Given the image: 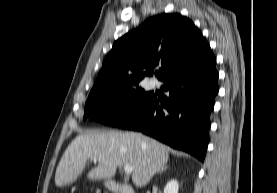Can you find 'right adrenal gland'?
I'll return each mask as SVG.
<instances>
[{
    "mask_svg": "<svg viewBox=\"0 0 277 193\" xmlns=\"http://www.w3.org/2000/svg\"><path fill=\"white\" fill-rule=\"evenodd\" d=\"M168 167H165V168H162L160 171H159V174L164 172Z\"/></svg>",
    "mask_w": 277,
    "mask_h": 193,
    "instance_id": "obj_1",
    "label": "right adrenal gland"
}]
</instances>
